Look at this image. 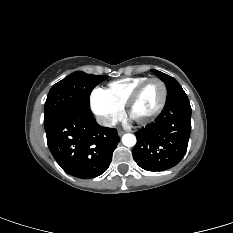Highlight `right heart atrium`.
<instances>
[{"label": "right heart atrium", "instance_id": "right-heart-atrium-1", "mask_svg": "<svg viewBox=\"0 0 233 233\" xmlns=\"http://www.w3.org/2000/svg\"><path fill=\"white\" fill-rule=\"evenodd\" d=\"M90 107L98 122L112 127L123 115V107L114 103L103 89H94L90 95Z\"/></svg>", "mask_w": 233, "mask_h": 233}]
</instances>
